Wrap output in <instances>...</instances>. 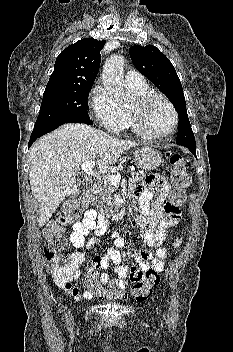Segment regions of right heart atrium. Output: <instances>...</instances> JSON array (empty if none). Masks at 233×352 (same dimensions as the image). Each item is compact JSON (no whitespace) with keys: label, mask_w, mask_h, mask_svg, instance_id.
<instances>
[{"label":"right heart atrium","mask_w":233,"mask_h":352,"mask_svg":"<svg viewBox=\"0 0 233 352\" xmlns=\"http://www.w3.org/2000/svg\"><path fill=\"white\" fill-rule=\"evenodd\" d=\"M91 108L97 122L108 131L123 130L125 112L114 98L101 86H96L91 95Z\"/></svg>","instance_id":"right-heart-atrium-1"}]
</instances>
